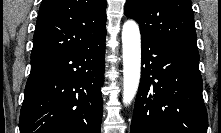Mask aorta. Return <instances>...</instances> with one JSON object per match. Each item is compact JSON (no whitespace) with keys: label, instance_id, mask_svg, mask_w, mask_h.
I'll return each mask as SVG.
<instances>
[{"label":"aorta","instance_id":"762f6f07","mask_svg":"<svg viewBox=\"0 0 221 133\" xmlns=\"http://www.w3.org/2000/svg\"><path fill=\"white\" fill-rule=\"evenodd\" d=\"M123 48V103L128 105L135 97L141 75V36L138 24L133 20L124 23Z\"/></svg>","mask_w":221,"mask_h":133}]
</instances>
